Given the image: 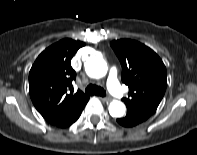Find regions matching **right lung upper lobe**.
Here are the masks:
<instances>
[{
	"mask_svg": "<svg viewBox=\"0 0 197 155\" xmlns=\"http://www.w3.org/2000/svg\"><path fill=\"white\" fill-rule=\"evenodd\" d=\"M84 42L63 39L45 49L29 73V93L38 112L52 125L69 126L89 100L72 82L71 59Z\"/></svg>",
	"mask_w": 197,
	"mask_h": 155,
	"instance_id": "right-lung-upper-lobe-1",
	"label": "right lung upper lobe"
}]
</instances>
